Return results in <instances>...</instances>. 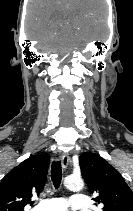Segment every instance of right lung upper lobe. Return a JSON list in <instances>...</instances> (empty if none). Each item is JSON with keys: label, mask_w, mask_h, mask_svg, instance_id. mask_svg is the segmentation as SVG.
Returning <instances> with one entry per match:
<instances>
[{"label": "right lung upper lobe", "mask_w": 133, "mask_h": 211, "mask_svg": "<svg viewBox=\"0 0 133 211\" xmlns=\"http://www.w3.org/2000/svg\"><path fill=\"white\" fill-rule=\"evenodd\" d=\"M48 155H33L13 168L0 182V211H23L31 197L42 192L47 178Z\"/></svg>", "instance_id": "right-lung-upper-lobe-1"}]
</instances>
